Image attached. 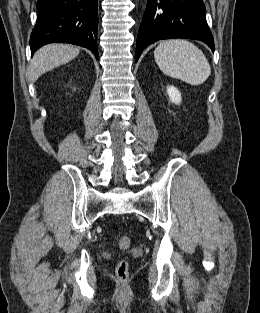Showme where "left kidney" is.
Wrapping results in <instances>:
<instances>
[{"instance_id": "left-kidney-1", "label": "left kidney", "mask_w": 260, "mask_h": 313, "mask_svg": "<svg viewBox=\"0 0 260 313\" xmlns=\"http://www.w3.org/2000/svg\"><path fill=\"white\" fill-rule=\"evenodd\" d=\"M167 94L169 95L171 103H174L176 105L180 104L181 102V93L178 91V89L174 86H168L167 87Z\"/></svg>"}]
</instances>
